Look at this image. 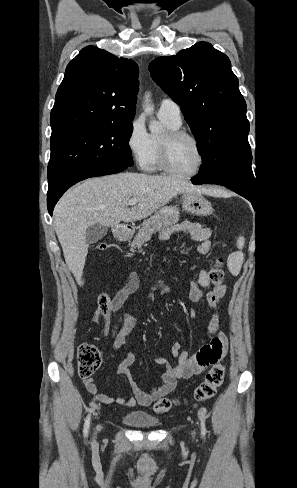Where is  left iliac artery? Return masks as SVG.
<instances>
[{"instance_id": "left-iliac-artery-1", "label": "left iliac artery", "mask_w": 297, "mask_h": 488, "mask_svg": "<svg viewBox=\"0 0 297 488\" xmlns=\"http://www.w3.org/2000/svg\"><path fill=\"white\" fill-rule=\"evenodd\" d=\"M201 434H202V436H204L206 434L204 418H202V417H201Z\"/></svg>"}]
</instances>
